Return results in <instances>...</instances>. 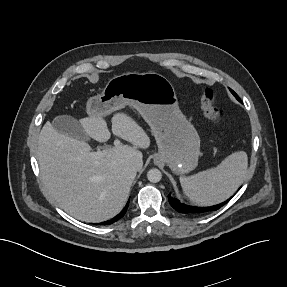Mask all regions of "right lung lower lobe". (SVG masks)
<instances>
[{
	"instance_id": "98d812e1",
	"label": "right lung lower lobe",
	"mask_w": 287,
	"mask_h": 287,
	"mask_svg": "<svg viewBox=\"0 0 287 287\" xmlns=\"http://www.w3.org/2000/svg\"><path fill=\"white\" fill-rule=\"evenodd\" d=\"M128 204H129V202L126 204L125 208H124L116 217H114L113 219L108 220V221H106V222H103V223H101V224H104V225L107 224V225H109V224H112V223L116 222V221L119 220L120 218H122V217L125 215L126 211H127Z\"/></svg>"
}]
</instances>
